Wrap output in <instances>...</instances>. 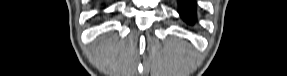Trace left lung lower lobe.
<instances>
[{"instance_id": "0a47b994", "label": "left lung lower lobe", "mask_w": 287, "mask_h": 76, "mask_svg": "<svg viewBox=\"0 0 287 76\" xmlns=\"http://www.w3.org/2000/svg\"><path fill=\"white\" fill-rule=\"evenodd\" d=\"M179 13L187 23H193L196 17L194 0H179Z\"/></svg>"}]
</instances>
